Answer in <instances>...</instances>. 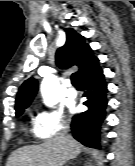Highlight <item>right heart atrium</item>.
<instances>
[{
	"label": "right heart atrium",
	"instance_id": "obj_1",
	"mask_svg": "<svg viewBox=\"0 0 135 166\" xmlns=\"http://www.w3.org/2000/svg\"><path fill=\"white\" fill-rule=\"evenodd\" d=\"M63 112L57 108L39 107L33 124L34 136L39 140L54 137L65 130Z\"/></svg>",
	"mask_w": 135,
	"mask_h": 166
}]
</instances>
